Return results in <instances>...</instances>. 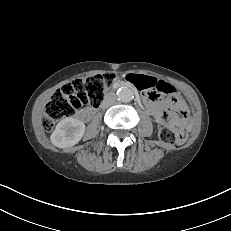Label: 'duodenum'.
Listing matches in <instances>:
<instances>
[{"mask_svg":"<svg viewBox=\"0 0 231 231\" xmlns=\"http://www.w3.org/2000/svg\"><path fill=\"white\" fill-rule=\"evenodd\" d=\"M142 97H143V96H142ZM143 99H144V98H143ZM144 102H145V105H147V104H148V101H147V100H145V99H144ZM89 115H90V112H86V113H85V116L89 117Z\"/></svg>","mask_w":231,"mask_h":231,"instance_id":"410a0bca","label":"duodenum"}]
</instances>
